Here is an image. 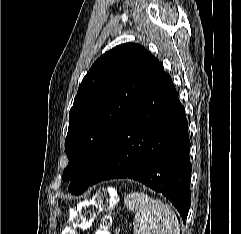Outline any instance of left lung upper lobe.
Masks as SVG:
<instances>
[{
  "mask_svg": "<svg viewBox=\"0 0 241 234\" xmlns=\"http://www.w3.org/2000/svg\"><path fill=\"white\" fill-rule=\"evenodd\" d=\"M160 62L138 44H122L103 54L79 85L69 112L63 180L80 195L100 168L123 121Z\"/></svg>",
  "mask_w": 241,
  "mask_h": 234,
  "instance_id": "left-lung-upper-lobe-1",
  "label": "left lung upper lobe"
}]
</instances>
